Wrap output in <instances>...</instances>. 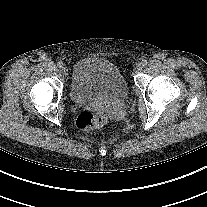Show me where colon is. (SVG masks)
<instances>
[{"instance_id": "1", "label": "colon", "mask_w": 207, "mask_h": 207, "mask_svg": "<svg viewBox=\"0 0 207 207\" xmlns=\"http://www.w3.org/2000/svg\"><path fill=\"white\" fill-rule=\"evenodd\" d=\"M108 116L102 112L82 111L76 118V125L83 130L104 126Z\"/></svg>"}]
</instances>
